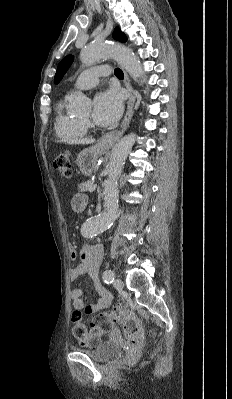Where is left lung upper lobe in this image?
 Wrapping results in <instances>:
<instances>
[{"mask_svg":"<svg viewBox=\"0 0 232 399\" xmlns=\"http://www.w3.org/2000/svg\"><path fill=\"white\" fill-rule=\"evenodd\" d=\"M113 38L120 41V42H126L127 38L123 32L119 28H116L113 33ZM73 62V56L68 55L66 56L58 65L57 71L55 74V83H59L60 80L62 79L63 75L66 73L68 70L69 66Z\"/></svg>","mask_w":232,"mask_h":399,"instance_id":"1","label":"left lung upper lobe"}]
</instances>
